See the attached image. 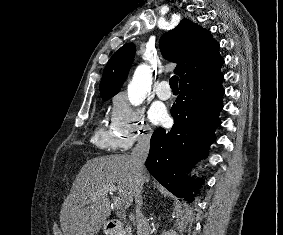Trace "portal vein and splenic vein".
<instances>
[{
  "label": "portal vein and splenic vein",
  "mask_w": 283,
  "mask_h": 235,
  "mask_svg": "<svg viewBox=\"0 0 283 235\" xmlns=\"http://www.w3.org/2000/svg\"><path fill=\"white\" fill-rule=\"evenodd\" d=\"M105 189H106V192H108L109 194H113L114 192H116V187L114 185H110L106 187ZM113 204L117 210H123V206H122L120 198L115 197L113 199Z\"/></svg>",
  "instance_id": "1"
}]
</instances>
